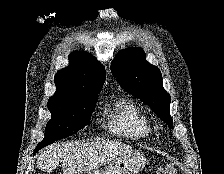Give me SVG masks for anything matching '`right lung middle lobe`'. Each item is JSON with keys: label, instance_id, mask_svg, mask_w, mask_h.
<instances>
[{"label": "right lung middle lobe", "instance_id": "1", "mask_svg": "<svg viewBox=\"0 0 224 174\" xmlns=\"http://www.w3.org/2000/svg\"><path fill=\"white\" fill-rule=\"evenodd\" d=\"M97 98H86L73 102L47 103L51 119L47 122L45 137L38 143L41 148L62 138L77 133L89 124Z\"/></svg>", "mask_w": 224, "mask_h": 174}]
</instances>
